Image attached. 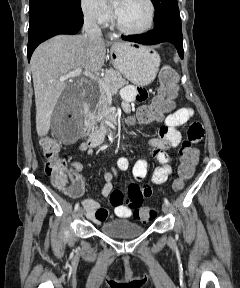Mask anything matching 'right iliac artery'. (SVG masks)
Returning a JSON list of instances; mask_svg holds the SVG:
<instances>
[{
  "label": "right iliac artery",
  "instance_id": "obj_1",
  "mask_svg": "<svg viewBox=\"0 0 240 288\" xmlns=\"http://www.w3.org/2000/svg\"><path fill=\"white\" fill-rule=\"evenodd\" d=\"M79 209V203L75 204V211H77Z\"/></svg>",
  "mask_w": 240,
  "mask_h": 288
}]
</instances>
